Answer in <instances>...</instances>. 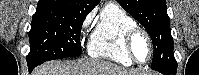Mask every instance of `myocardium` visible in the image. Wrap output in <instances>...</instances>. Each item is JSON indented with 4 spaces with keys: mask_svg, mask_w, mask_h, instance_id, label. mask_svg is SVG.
<instances>
[{
    "mask_svg": "<svg viewBox=\"0 0 199 75\" xmlns=\"http://www.w3.org/2000/svg\"><path fill=\"white\" fill-rule=\"evenodd\" d=\"M139 34L144 36L146 38V40L148 41V44H149V49H150L149 56H148V58L145 62H140L136 58L134 51H133L134 38ZM124 40H125V46H126L127 52L129 54L130 58L133 60V62H135L139 65H144V64H147L151 60L153 53H154V45H153V41H152L151 36L149 35V33L145 29H143L142 27L137 26V25L130 27L125 32Z\"/></svg>",
    "mask_w": 199,
    "mask_h": 75,
    "instance_id": "obj_1",
    "label": "myocardium"
}]
</instances>
